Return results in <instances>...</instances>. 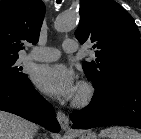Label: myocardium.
I'll use <instances>...</instances> for the list:
<instances>
[{
  "instance_id": "f54148a6",
  "label": "myocardium",
  "mask_w": 141,
  "mask_h": 139,
  "mask_svg": "<svg viewBox=\"0 0 141 139\" xmlns=\"http://www.w3.org/2000/svg\"><path fill=\"white\" fill-rule=\"evenodd\" d=\"M95 96L94 86L86 81L79 83L76 95L73 99L75 107H85L89 105Z\"/></svg>"
}]
</instances>
